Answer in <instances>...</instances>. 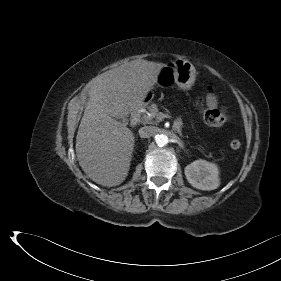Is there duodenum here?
Listing matches in <instances>:
<instances>
[{"label":"duodenum","mask_w":281,"mask_h":281,"mask_svg":"<svg viewBox=\"0 0 281 281\" xmlns=\"http://www.w3.org/2000/svg\"><path fill=\"white\" fill-rule=\"evenodd\" d=\"M138 118H139V114L136 111L131 112L130 122L132 125L137 124ZM179 127H180V123H177L175 128L178 129Z\"/></svg>","instance_id":"obj_1"}]
</instances>
